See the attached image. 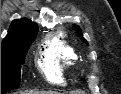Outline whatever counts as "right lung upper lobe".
I'll list each match as a JSON object with an SVG mask.
<instances>
[{"mask_svg": "<svg viewBox=\"0 0 121 94\" xmlns=\"http://www.w3.org/2000/svg\"><path fill=\"white\" fill-rule=\"evenodd\" d=\"M38 32V26L27 19H16L10 25L7 36L2 44H9L21 40Z\"/></svg>", "mask_w": 121, "mask_h": 94, "instance_id": "obj_1", "label": "right lung upper lobe"}]
</instances>
